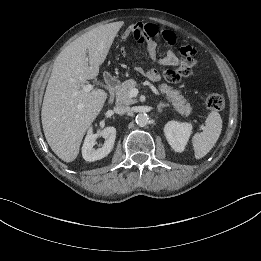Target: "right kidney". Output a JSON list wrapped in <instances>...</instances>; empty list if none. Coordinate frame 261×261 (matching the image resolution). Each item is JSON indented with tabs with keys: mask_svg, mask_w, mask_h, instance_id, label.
<instances>
[{
	"mask_svg": "<svg viewBox=\"0 0 261 261\" xmlns=\"http://www.w3.org/2000/svg\"><path fill=\"white\" fill-rule=\"evenodd\" d=\"M101 136L105 139L104 145L95 150L93 147L96 144V139ZM115 138L116 129L113 126L106 127L95 134L92 133V128H90L82 147L84 160L93 162L106 157L113 149Z\"/></svg>",
	"mask_w": 261,
	"mask_h": 261,
	"instance_id": "right-kidney-1",
	"label": "right kidney"
}]
</instances>
